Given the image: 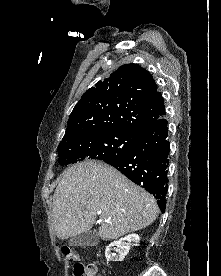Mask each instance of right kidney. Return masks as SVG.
<instances>
[{
  "instance_id": "ca27d5eb",
  "label": "right kidney",
  "mask_w": 221,
  "mask_h": 276,
  "mask_svg": "<svg viewBox=\"0 0 221 276\" xmlns=\"http://www.w3.org/2000/svg\"><path fill=\"white\" fill-rule=\"evenodd\" d=\"M139 241L140 237L138 234H129L124 238L119 239L118 241L110 243L105 250L107 261H123L125 256L128 254L130 247L138 246ZM112 247L116 248V251L118 253L117 256L112 255Z\"/></svg>"
}]
</instances>
